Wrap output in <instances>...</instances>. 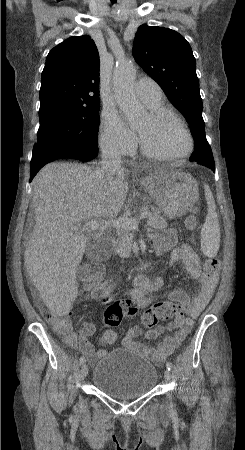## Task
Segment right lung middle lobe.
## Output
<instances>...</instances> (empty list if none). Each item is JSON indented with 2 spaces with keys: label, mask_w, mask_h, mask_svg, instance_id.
<instances>
[{
  "label": "right lung middle lobe",
  "mask_w": 245,
  "mask_h": 450,
  "mask_svg": "<svg viewBox=\"0 0 245 450\" xmlns=\"http://www.w3.org/2000/svg\"><path fill=\"white\" fill-rule=\"evenodd\" d=\"M99 108L100 104L94 107L53 104L40 109L38 143L31 163L53 153L97 151Z\"/></svg>",
  "instance_id": "obj_1"
}]
</instances>
